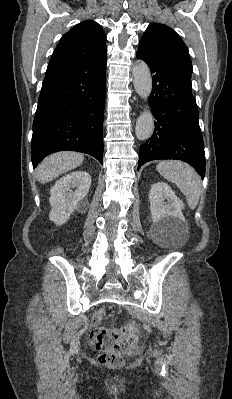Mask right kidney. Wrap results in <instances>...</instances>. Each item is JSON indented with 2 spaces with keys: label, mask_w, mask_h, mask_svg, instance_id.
<instances>
[{
  "label": "right kidney",
  "mask_w": 232,
  "mask_h": 399,
  "mask_svg": "<svg viewBox=\"0 0 232 399\" xmlns=\"http://www.w3.org/2000/svg\"><path fill=\"white\" fill-rule=\"evenodd\" d=\"M91 186V176L87 172H71L60 178L51 188L49 217L57 225H62L69 219L74 209H87L89 203L85 200ZM74 190V192H73Z\"/></svg>",
  "instance_id": "obj_1"
}]
</instances>
